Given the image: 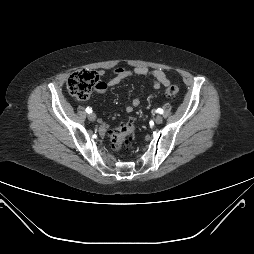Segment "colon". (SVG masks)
<instances>
[{
	"label": "colon",
	"instance_id": "colon-1",
	"mask_svg": "<svg viewBox=\"0 0 254 254\" xmlns=\"http://www.w3.org/2000/svg\"><path fill=\"white\" fill-rule=\"evenodd\" d=\"M100 85L99 75L95 71H78L72 73L67 80V88L72 96L79 100H86L91 91ZM179 93L177 86L165 89L166 98H174ZM135 124L128 120L110 134V140L114 151L122 150L128 145L135 135Z\"/></svg>",
	"mask_w": 254,
	"mask_h": 254
}]
</instances>
